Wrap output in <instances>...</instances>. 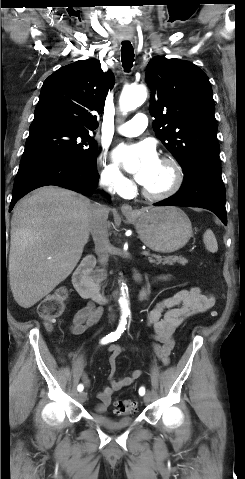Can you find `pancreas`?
I'll return each mask as SVG.
<instances>
[{
  "mask_svg": "<svg viewBox=\"0 0 245 479\" xmlns=\"http://www.w3.org/2000/svg\"><path fill=\"white\" fill-rule=\"evenodd\" d=\"M150 263H154L156 265L159 264H168V265H173L174 263H179L181 265H185L188 263V260L184 257L181 256H165L162 257L160 255H155L153 257L148 258Z\"/></svg>",
  "mask_w": 245,
  "mask_h": 479,
  "instance_id": "pancreas-1",
  "label": "pancreas"
}]
</instances>
